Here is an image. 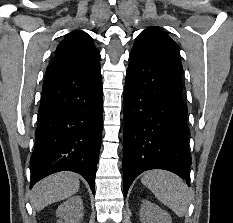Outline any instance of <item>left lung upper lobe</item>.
I'll return each instance as SVG.
<instances>
[{"mask_svg":"<svg viewBox=\"0 0 233 223\" xmlns=\"http://www.w3.org/2000/svg\"><path fill=\"white\" fill-rule=\"evenodd\" d=\"M135 43L143 44L163 60L183 69L179 58L180 47L161 28L151 27L142 31Z\"/></svg>","mask_w":233,"mask_h":223,"instance_id":"obj_1","label":"left lung upper lobe"}]
</instances>
